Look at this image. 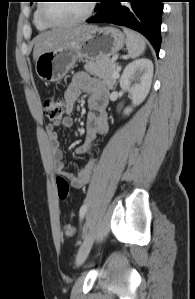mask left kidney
<instances>
[{"label": "left kidney", "mask_w": 195, "mask_h": 299, "mask_svg": "<svg viewBox=\"0 0 195 299\" xmlns=\"http://www.w3.org/2000/svg\"><path fill=\"white\" fill-rule=\"evenodd\" d=\"M153 76V63L149 59H138L126 66L120 78V87L132 96V106L124 109L129 115L133 107L141 104L147 97Z\"/></svg>", "instance_id": "1"}]
</instances>
